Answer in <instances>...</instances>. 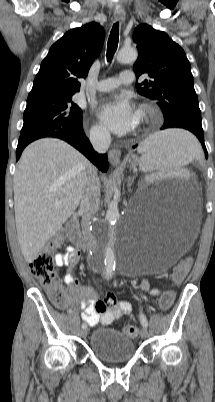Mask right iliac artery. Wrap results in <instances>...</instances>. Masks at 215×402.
<instances>
[{
    "label": "right iliac artery",
    "instance_id": "82829eb1",
    "mask_svg": "<svg viewBox=\"0 0 215 402\" xmlns=\"http://www.w3.org/2000/svg\"><path fill=\"white\" fill-rule=\"evenodd\" d=\"M82 328H87L86 323H83V324H82Z\"/></svg>",
    "mask_w": 215,
    "mask_h": 402
}]
</instances>
